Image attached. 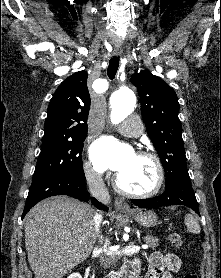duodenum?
I'll return each instance as SVG.
<instances>
[{"mask_svg":"<svg viewBox=\"0 0 221 278\" xmlns=\"http://www.w3.org/2000/svg\"><path fill=\"white\" fill-rule=\"evenodd\" d=\"M139 273L138 265L133 264L126 267L117 278H137Z\"/></svg>","mask_w":221,"mask_h":278,"instance_id":"obj_1","label":"duodenum"}]
</instances>
